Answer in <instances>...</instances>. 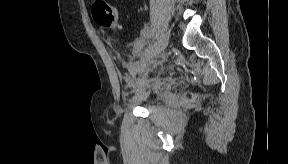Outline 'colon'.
<instances>
[{"mask_svg":"<svg viewBox=\"0 0 288 164\" xmlns=\"http://www.w3.org/2000/svg\"><path fill=\"white\" fill-rule=\"evenodd\" d=\"M94 17L96 22L104 28L116 29L120 26L118 9L106 3L95 4Z\"/></svg>","mask_w":288,"mask_h":164,"instance_id":"5ec220e1","label":"colon"}]
</instances>
